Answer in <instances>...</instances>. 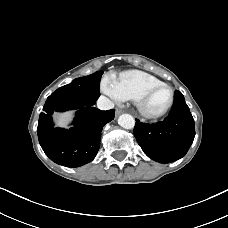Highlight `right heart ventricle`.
<instances>
[{
  "label": "right heart ventricle",
  "instance_id": "1",
  "mask_svg": "<svg viewBox=\"0 0 228 228\" xmlns=\"http://www.w3.org/2000/svg\"><path fill=\"white\" fill-rule=\"evenodd\" d=\"M162 83L157 77L139 70L123 72L115 82V88L122 100H136L149 86Z\"/></svg>",
  "mask_w": 228,
  "mask_h": 228
}]
</instances>
